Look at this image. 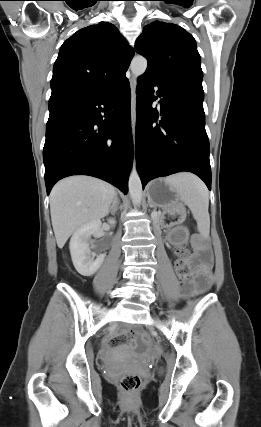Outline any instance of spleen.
Masks as SVG:
<instances>
[{
    "mask_svg": "<svg viewBox=\"0 0 261 427\" xmlns=\"http://www.w3.org/2000/svg\"><path fill=\"white\" fill-rule=\"evenodd\" d=\"M166 182L177 190L180 199L191 210L200 234L208 236L210 231L209 193L202 180L190 173H179L167 177Z\"/></svg>",
    "mask_w": 261,
    "mask_h": 427,
    "instance_id": "obj_1",
    "label": "spleen"
}]
</instances>
